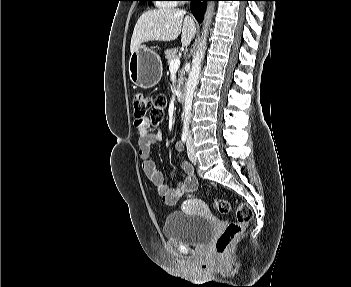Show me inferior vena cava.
I'll return each mask as SVG.
<instances>
[{
    "mask_svg": "<svg viewBox=\"0 0 351 287\" xmlns=\"http://www.w3.org/2000/svg\"><path fill=\"white\" fill-rule=\"evenodd\" d=\"M188 136H189V137H191V134H190V133H188Z\"/></svg>",
    "mask_w": 351,
    "mask_h": 287,
    "instance_id": "602c4592",
    "label": "inferior vena cava"
}]
</instances>
